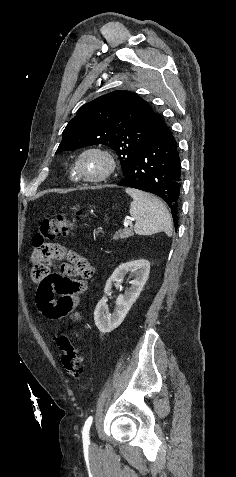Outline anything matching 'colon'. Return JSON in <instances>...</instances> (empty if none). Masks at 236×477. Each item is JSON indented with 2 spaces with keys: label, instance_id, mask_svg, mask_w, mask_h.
Here are the masks:
<instances>
[{
  "label": "colon",
  "instance_id": "1",
  "mask_svg": "<svg viewBox=\"0 0 236 477\" xmlns=\"http://www.w3.org/2000/svg\"><path fill=\"white\" fill-rule=\"evenodd\" d=\"M75 226L74 218L59 215L53 219H44L33 237L32 275L40 277L44 260L51 258L57 250L51 246L50 240L58 236L68 235ZM82 272L90 273L91 265L84 263ZM60 360L67 373L78 380L83 375V354L72 342V336L63 333L58 337Z\"/></svg>",
  "mask_w": 236,
  "mask_h": 477
}]
</instances>
